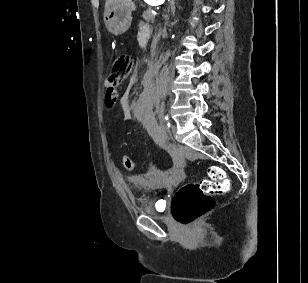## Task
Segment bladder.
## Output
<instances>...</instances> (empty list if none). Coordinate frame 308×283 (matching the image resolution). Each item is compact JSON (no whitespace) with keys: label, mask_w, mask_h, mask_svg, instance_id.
Masks as SVG:
<instances>
[{"label":"bladder","mask_w":308,"mask_h":283,"mask_svg":"<svg viewBox=\"0 0 308 283\" xmlns=\"http://www.w3.org/2000/svg\"><path fill=\"white\" fill-rule=\"evenodd\" d=\"M163 211V207L160 201L153 202L150 207L146 209V213L160 215Z\"/></svg>","instance_id":"bladder-1"}]
</instances>
